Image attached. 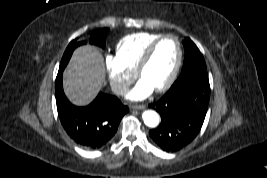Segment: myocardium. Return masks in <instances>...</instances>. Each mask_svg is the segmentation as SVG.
<instances>
[{
	"mask_svg": "<svg viewBox=\"0 0 267 178\" xmlns=\"http://www.w3.org/2000/svg\"><path fill=\"white\" fill-rule=\"evenodd\" d=\"M166 38H173L176 41L177 48H178V56H177V61L174 65V68H173L170 76L166 80V82L164 84H162L160 87L155 89V92H157V93H161V92L168 90L173 85V83L175 82V80L177 78V75L179 73V70L181 68L182 61H183V47H182V43H181L180 39L174 34H164V35L160 36L158 39L153 41L147 47V49L143 53L142 57L140 58L138 65H137V68H136V71H135L136 76L138 78H140L142 71L149 63L155 49Z\"/></svg>",
	"mask_w": 267,
	"mask_h": 178,
	"instance_id": "myocardium-1",
	"label": "myocardium"
}]
</instances>
